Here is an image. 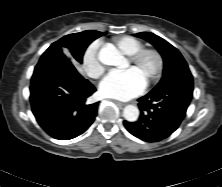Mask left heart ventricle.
I'll use <instances>...</instances> for the list:
<instances>
[{
    "instance_id": "obj_1",
    "label": "left heart ventricle",
    "mask_w": 222,
    "mask_h": 187,
    "mask_svg": "<svg viewBox=\"0 0 222 187\" xmlns=\"http://www.w3.org/2000/svg\"><path fill=\"white\" fill-rule=\"evenodd\" d=\"M131 67L137 69L141 76L144 78V80L147 81L156 69V60L153 56L149 55L137 65H134L129 61L126 68Z\"/></svg>"
}]
</instances>
